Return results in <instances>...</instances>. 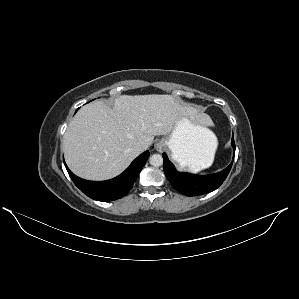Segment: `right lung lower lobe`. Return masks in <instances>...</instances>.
<instances>
[{
  "instance_id": "right-lung-lower-lobe-1",
  "label": "right lung lower lobe",
  "mask_w": 299,
  "mask_h": 299,
  "mask_svg": "<svg viewBox=\"0 0 299 299\" xmlns=\"http://www.w3.org/2000/svg\"><path fill=\"white\" fill-rule=\"evenodd\" d=\"M148 157L149 151H146L137 157L122 174L101 182L81 179L68 169L65 162L64 164L71 179L84 194L98 201H113L122 198L130 191Z\"/></svg>"
}]
</instances>
